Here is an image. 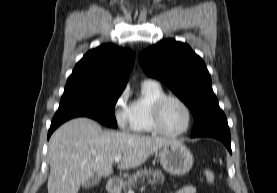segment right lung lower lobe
Listing matches in <instances>:
<instances>
[{
    "label": "right lung lower lobe",
    "instance_id": "obj_1",
    "mask_svg": "<svg viewBox=\"0 0 277 193\" xmlns=\"http://www.w3.org/2000/svg\"><path fill=\"white\" fill-rule=\"evenodd\" d=\"M74 118L72 116H54L52 122H51V126L50 129L48 131V139L50 137V135L53 133V131L60 126L62 123H64L65 121Z\"/></svg>",
    "mask_w": 277,
    "mask_h": 193
}]
</instances>
